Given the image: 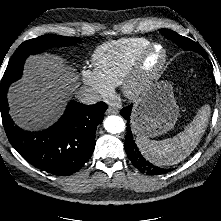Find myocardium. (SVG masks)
I'll use <instances>...</instances> for the list:
<instances>
[{
    "label": "myocardium",
    "mask_w": 221,
    "mask_h": 221,
    "mask_svg": "<svg viewBox=\"0 0 221 221\" xmlns=\"http://www.w3.org/2000/svg\"><path fill=\"white\" fill-rule=\"evenodd\" d=\"M160 51V58L152 69L146 68V61L155 51ZM168 53L164 45L150 43L136 57L129 71L121 82V90L130 100L140 99L160 78L166 65Z\"/></svg>",
    "instance_id": "1"
}]
</instances>
